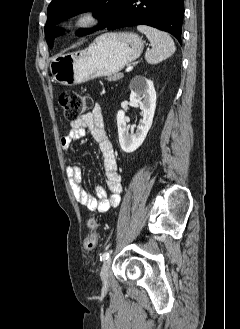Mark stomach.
I'll return each instance as SVG.
<instances>
[{
  "label": "stomach",
  "mask_w": 240,
  "mask_h": 329,
  "mask_svg": "<svg viewBox=\"0 0 240 329\" xmlns=\"http://www.w3.org/2000/svg\"><path fill=\"white\" fill-rule=\"evenodd\" d=\"M142 50L143 41L135 33H105L84 50L53 57L50 71L58 83L73 86L118 73Z\"/></svg>",
  "instance_id": "obj_1"
}]
</instances>
